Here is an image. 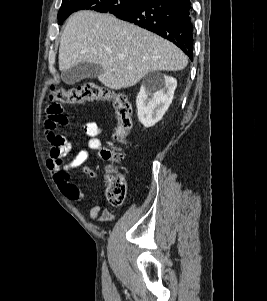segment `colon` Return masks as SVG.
<instances>
[{"label":"colon","mask_w":267,"mask_h":301,"mask_svg":"<svg viewBox=\"0 0 267 301\" xmlns=\"http://www.w3.org/2000/svg\"><path fill=\"white\" fill-rule=\"evenodd\" d=\"M50 99L61 103L79 104L89 101H108L112 103L117 118V127L108 146L100 150L104 161L118 163L123 154L120 145L126 141L132 124V107L128 97L121 92L93 83H87L69 90L52 86ZM106 182V198L112 206L123 204L126 196V181L120 172L107 168L104 175Z\"/></svg>","instance_id":"colon-1"}]
</instances>
